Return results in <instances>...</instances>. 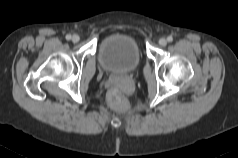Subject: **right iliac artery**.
Here are the masks:
<instances>
[{
	"mask_svg": "<svg viewBox=\"0 0 238 158\" xmlns=\"http://www.w3.org/2000/svg\"><path fill=\"white\" fill-rule=\"evenodd\" d=\"M66 39H67V40H70V39H71V35H70V34H67V35H66Z\"/></svg>",
	"mask_w": 238,
	"mask_h": 158,
	"instance_id": "1",
	"label": "right iliac artery"
}]
</instances>
